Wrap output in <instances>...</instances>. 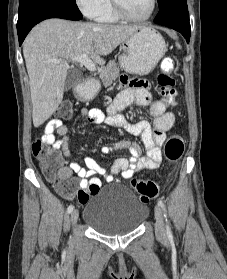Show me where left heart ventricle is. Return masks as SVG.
<instances>
[{"label": "left heart ventricle", "instance_id": "b2bd125f", "mask_svg": "<svg viewBox=\"0 0 227 279\" xmlns=\"http://www.w3.org/2000/svg\"><path fill=\"white\" fill-rule=\"evenodd\" d=\"M123 7L135 17H142L148 13L151 0H120Z\"/></svg>", "mask_w": 227, "mask_h": 279}]
</instances>
